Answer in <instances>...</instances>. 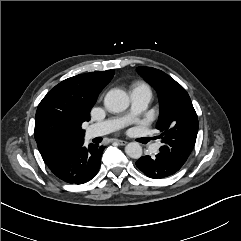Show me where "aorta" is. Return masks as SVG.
Instances as JSON below:
<instances>
[{
    "label": "aorta",
    "instance_id": "obj_1",
    "mask_svg": "<svg viewBox=\"0 0 241 241\" xmlns=\"http://www.w3.org/2000/svg\"><path fill=\"white\" fill-rule=\"evenodd\" d=\"M104 105L110 112H122L129 106V97L123 90L111 89L104 98ZM125 152L129 157L138 159L142 156V147L137 142H131L126 145Z\"/></svg>",
    "mask_w": 241,
    "mask_h": 241
}]
</instances>
